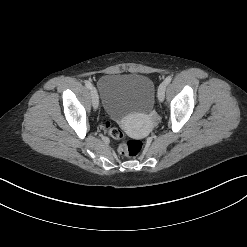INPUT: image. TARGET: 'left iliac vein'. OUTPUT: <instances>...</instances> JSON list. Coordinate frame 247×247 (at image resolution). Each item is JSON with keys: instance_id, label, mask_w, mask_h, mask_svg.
Masks as SVG:
<instances>
[{"instance_id": "4c4485c4", "label": "left iliac vein", "mask_w": 247, "mask_h": 247, "mask_svg": "<svg viewBox=\"0 0 247 247\" xmlns=\"http://www.w3.org/2000/svg\"><path fill=\"white\" fill-rule=\"evenodd\" d=\"M166 86H167V84L165 82H162L159 85V88H158V100L160 102H162L164 100Z\"/></svg>"}]
</instances>
